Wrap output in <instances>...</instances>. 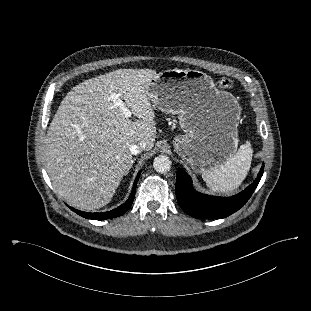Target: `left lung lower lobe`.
I'll list each match as a JSON object with an SVG mask.
<instances>
[{"label":"left lung lower lobe","mask_w":311,"mask_h":311,"mask_svg":"<svg viewBox=\"0 0 311 311\" xmlns=\"http://www.w3.org/2000/svg\"><path fill=\"white\" fill-rule=\"evenodd\" d=\"M263 175V167L256 180L244 191L224 198L201 194L192 187L190 176L183 170L177 171L176 197L181 208L190 216L199 219L227 217L242 208L256 189Z\"/></svg>","instance_id":"left-lung-lower-lobe-1"}]
</instances>
